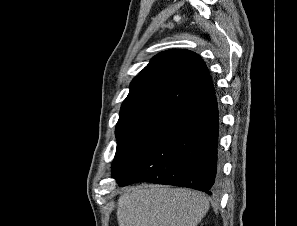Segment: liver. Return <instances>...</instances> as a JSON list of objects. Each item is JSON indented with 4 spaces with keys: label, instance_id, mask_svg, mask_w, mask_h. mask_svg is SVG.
<instances>
[{
    "label": "liver",
    "instance_id": "1",
    "mask_svg": "<svg viewBox=\"0 0 297 226\" xmlns=\"http://www.w3.org/2000/svg\"><path fill=\"white\" fill-rule=\"evenodd\" d=\"M209 209L206 197L159 185L127 189L117 204L119 226H197Z\"/></svg>",
    "mask_w": 297,
    "mask_h": 226
}]
</instances>
